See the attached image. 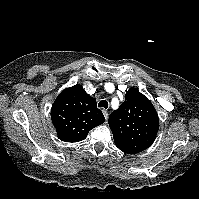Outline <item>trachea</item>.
<instances>
[{
    "label": "trachea",
    "mask_w": 199,
    "mask_h": 199,
    "mask_svg": "<svg viewBox=\"0 0 199 199\" xmlns=\"http://www.w3.org/2000/svg\"><path fill=\"white\" fill-rule=\"evenodd\" d=\"M98 106L107 109L108 108V102L106 100H102V101L99 102Z\"/></svg>",
    "instance_id": "trachea-1"
}]
</instances>
